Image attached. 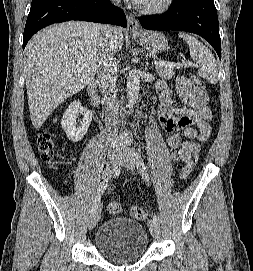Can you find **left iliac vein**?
Masks as SVG:
<instances>
[{"instance_id":"1","label":"left iliac vein","mask_w":253,"mask_h":271,"mask_svg":"<svg viewBox=\"0 0 253 271\" xmlns=\"http://www.w3.org/2000/svg\"><path fill=\"white\" fill-rule=\"evenodd\" d=\"M136 157H137V153L135 152L134 149H132V148H123L121 150L120 164L123 165L124 167H126L128 170L132 171L137 166ZM149 229H150L151 235L155 239L160 238L161 229H160L159 223H157V222H155L153 220L150 221Z\"/></svg>"}]
</instances>
